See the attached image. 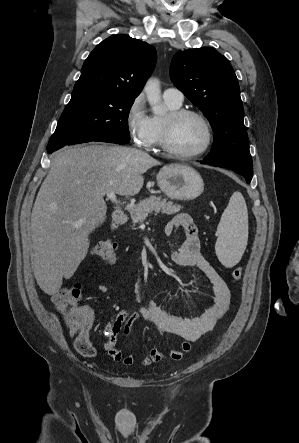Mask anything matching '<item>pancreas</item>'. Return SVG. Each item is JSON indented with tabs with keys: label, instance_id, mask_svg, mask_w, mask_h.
<instances>
[{
	"label": "pancreas",
	"instance_id": "pancreas-1",
	"mask_svg": "<svg viewBox=\"0 0 299 443\" xmlns=\"http://www.w3.org/2000/svg\"><path fill=\"white\" fill-rule=\"evenodd\" d=\"M181 206L173 204L167 199L161 197L150 196L148 199L142 200L140 203L134 206H130V214L132 216L133 223H142L149 213H163L167 215L176 214L180 211Z\"/></svg>",
	"mask_w": 299,
	"mask_h": 443
}]
</instances>
